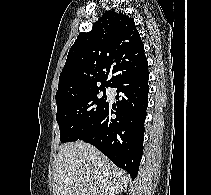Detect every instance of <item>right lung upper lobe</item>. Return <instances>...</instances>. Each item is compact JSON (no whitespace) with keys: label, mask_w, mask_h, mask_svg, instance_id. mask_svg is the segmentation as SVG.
<instances>
[{"label":"right lung upper lobe","mask_w":211,"mask_h":195,"mask_svg":"<svg viewBox=\"0 0 211 195\" xmlns=\"http://www.w3.org/2000/svg\"><path fill=\"white\" fill-rule=\"evenodd\" d=\"M147 66L134 20L106 11L92 30L80 33L59 77L56 104L97 89L112 87L122 76ZM113 76L106 81L108 74Z\"/></svg>","instance_id":"right-lung-upper-lobe-1"}]
</instances>
